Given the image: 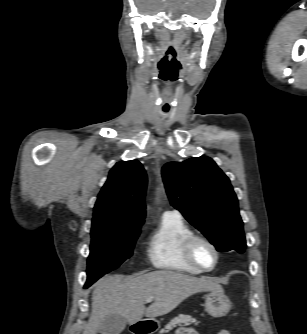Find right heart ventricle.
Here are the masks:
<instances>
[{"mask_svg":"<svg viewBox=\"0 0 307 334\" xmlns=\"http://www.w3.org/2000/svg\"><path fill=\"white\" fill-rule=\"evenodd\" d=\"M192 233L182 217L163 215L148 237L146 255L149 263L154 268L170 272L201 273L183 253V242Z\"/></svg>","mask_w":307,"mask_h":334,"instance_id":"1","label":"right heart ventricle"}]
</instances>
